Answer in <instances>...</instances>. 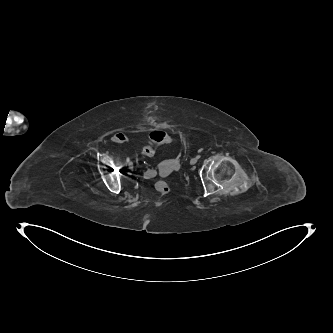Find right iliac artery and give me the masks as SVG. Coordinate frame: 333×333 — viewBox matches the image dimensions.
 Instances as JSON below:
<instances>
[{
	"mask_svg": "<svg viewBox=\"0 0 333 333\" xmlns=\"http://www.w3.org/2000/svg\"><path fill=\"white\" fill-rule=\"evenodd\" d=\"M126 162H127V164L130 163V159H129V157L126 158Z\"/></svg>",
	"mask_w": 333,
	"mask_h": 333,
	"instance_id": "right-iliac-artery-1",
	"label": "right iliac artery"
}]
</instances>
